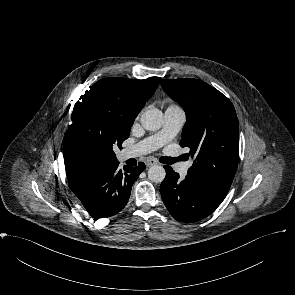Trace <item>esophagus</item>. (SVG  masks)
I'll list each match as a JSON object with an SVG mask.
<instances>
[{
  "mask_svg": "<svg viewBox=\"0 0 295 295\" xmlns=\"http://www.w3.org/2000/svg\"><path fill=\"white\" fill-rule=\"evenodd\" d=\"M145 164H146L147 167H150V166L156 165L157 164V160L154 159V158H147L145 160Z\"/></svg>",
  "mask_w": 295,
  "mask_h": 295,
  "instance_id": "obj_1",
  "label": "esophagus"
}]
</instances>
